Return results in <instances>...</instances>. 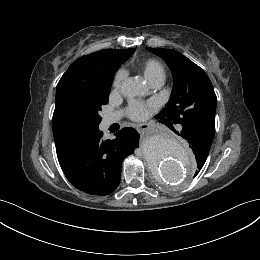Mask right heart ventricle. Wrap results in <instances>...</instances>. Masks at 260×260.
Segmentation results:
<instances>
[{
  "mask_svg": "<svg viewBox=\"0 0 260 260\" xmlns=\"http://www.w3.org/2000/svg\"><path fill=\"white\" fill-rule=\"evenodd\" d=\"M139 67L149 83L156 80H164L166 77V70L164 65L155 58H148L143 60Z\"/></svg>",
  "mask_w": 260,
  "mask_h": 260,
  "instance_id": "obj_1",
  "label": "right heart ventricle"
}]
</instances>
